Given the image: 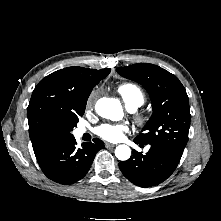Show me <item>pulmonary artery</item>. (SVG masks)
<instances>
[{
	"mask_svg": "<svg viewBox=\"0 0 221 221\" xmlns=\"http://www.w3.org/2000/svg\"><path fill=\"white\" fill-rule=\"evenodd\" d=\"M130 111H135L137 108L136 107H128ZM86 132V129L83 127H79L76 129L75 133L77 136H82Z\"/></svg>",
	"mask_w": 221,
	"mask_h": 221,
	"instance_id": "e3ab8cb5",
	"label": "pulmonary artery"
}]
</instances>
